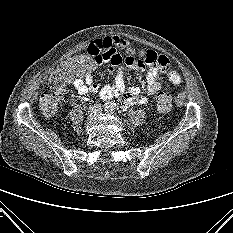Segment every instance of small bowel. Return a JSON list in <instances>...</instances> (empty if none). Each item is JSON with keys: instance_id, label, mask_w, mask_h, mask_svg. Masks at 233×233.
Here are the masks:
<instances>
[{"instance_id": "c3829d8e", "label": "small bowel", "mask_w": 233, "mask_h": 233, "mask_svg": "<svg viewBox=\"0 0 233 233\" xmlns=\"http://www.w3.org/2000/svg\"><path fill=\"white\" fill-rule=\"evenodd\" d=\"M127 43L118 36L104 37L93 41L87 48V52L94 54L97 58L96 64L107 63L109 70L115 74L113 84L106 85L102 88L95 82L91 72H87L73 80V86L81 95L96 94L104 99L116 98L120 101L121 107L126 109L133 105H145L149 97L155 95L162 89V84L158 81L161 74H167L168 79L178 84L181 82L180 75L170 70L169 60L163 55H157L153 51H141V57L149 60L159 61L161 66L149 65L147 72V88L145 94L137 86L130 87L127 91L125 88L123 64L128 67L143 70L145 64L137 62L136 59L126 56L122 58L118 49H125Z\"/></svg>"}]
</instances>
